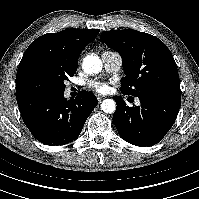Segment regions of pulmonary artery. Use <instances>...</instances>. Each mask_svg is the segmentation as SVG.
Instances as JSON below:
<instances>
[{"label":"pulmonary artery","instance_id":"1","mask_svg":"<svg viewBox=\"0 0 199 199\" xmlns=\"http://www.w3.org/2000/svg\"><path fill=\"white\" fill-rule=\"evenodd\" d=\"M102 62L104 69L109 74L117 73L122 67V58L119 53L115 51H105L102 53ZM139 103V100H136Z\"/></svg>","mask_w":199,"mask_h":199}]
</instances>
